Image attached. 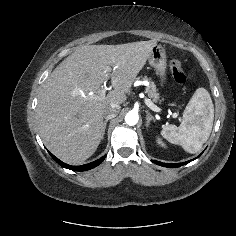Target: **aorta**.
<instances>
[{"label": "aorta", "instance_id": "aorta-1", "mask_svg": "<svg viewBox=\"0 0 236 236\" xmlns=\"http://www.w3.org/2000/svg\"><path fill=\"white\" fill-rule=\"evenodd\" d=\"M139 116L136 112L129 111L125 116V122L129 126H134L138 123Z\"/></svg>", "mask_w": 236, "mask_h": 236}]
</instances>
